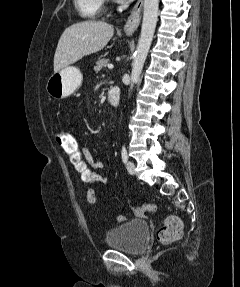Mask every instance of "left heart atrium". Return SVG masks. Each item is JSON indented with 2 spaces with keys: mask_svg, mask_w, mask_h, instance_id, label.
Wrapping results in <instances>:
<instances>
[{
  "mask_svg": "<svg viewBox=\"0 0 240 287\" xmlns=\"http://www.w3.org/2000/svg\"><path fill=\"white\" fill-rule=\"evenodd\" d=\"M119 1H127V2H129V1H131V0H119Z\"/></svg>",
  "mask_w": 240,
  "mask_h": 287,
  "instance_id": "39dd6f15",
  "label": "left heart atrium"
}]
</instances>
